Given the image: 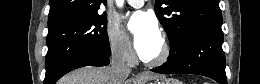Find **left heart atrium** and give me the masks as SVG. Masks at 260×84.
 <instances>
[{
  "label": "left heart atrium",
  "mask_w": 260,
  "mask_h": 84,
  "mask_svg": "<svg viewBox=\"0 0 260 84\" xmlns=\"http://www.w3.org/2000/svg\"><path fill=\"white\" fill-rule=\"evenodd\" d=\"M133 46L140 57L152 56L161 44V32L156 20L148 13L138 11L127 23Z\"/></svg>",
  "instance_id": "1"
}]
</instances>
